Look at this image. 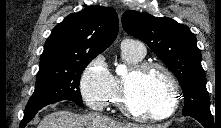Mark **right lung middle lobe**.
Returning <instances> with one entry per match:
<instances>
[{"mask_svg":"<svg viewBox=\"0 0 221 128\" xmlns=\"http://www.w3.org/2000/svg\"><path fill=\"white\" fill-rule=\"evenodd\" d=\"M92 60L93 58H88L63 67L39 70L35 91L28 101L25 112L61 100H70L83 106L79 81L81 73Z\"/></svg>","mask_w":221,"mask_h":128,"instance_id":"right-lung-middle-lobe-1","label":"right lung middle lobe"}]
</instances>
